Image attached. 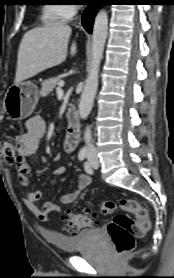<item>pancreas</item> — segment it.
I'll return each instance as SVG.
<instances>
[{"mask_svg": "<svg viewBox=\"0 0 174 278\" xmlns=\"http://www.w3.org/2000/svg\"><path fill=\"white\" fill-rule=\"evenodd\" d=\"M60 82V79L58 78H50L42 82V87L40 91V95L42 97L47 96L50 92L53 91V89L58 85Z\"/></svg>", "mask_w": 174, "mask_h": 278, "instance_id": "1", "label": "pancreas"}]
</instances>
